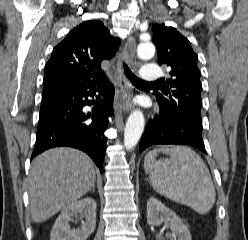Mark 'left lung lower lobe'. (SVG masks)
<instances>
[{
	"label": "left lung lower lobe",
	"instance_id": "obj_1",
	"mask_svg": "<svg viewBox=\"0 0 248 240\" xmlns=\"http://www.w3.org/2000/svg\"><path fill=\"white\" fill-rule=\"evenodd\" d=\"M167 144L191 146L206 154L201 116L192 114L176 116L163 111L155 115L142 135L140 152L153 145Z\"/></svg>",
	"mask_w": 248,
	"mask_h": 240
}]
</instances>
